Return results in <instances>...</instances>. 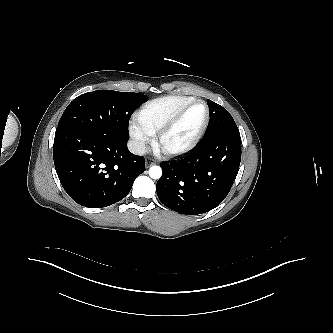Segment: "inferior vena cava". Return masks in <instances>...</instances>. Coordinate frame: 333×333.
Here are the masks:
<instances>
[{
  "label": "inferior vena cava",
  "mask_w": 333,
  "mask_h": 333,
  "mask_svg": "<svg viewBox=\"0 0 333 333\" xmlns=\"http://www.w3.org/2000/svg\"><path fill=\"white\" fill-rule=\"evenodd\" d=\"M127 145L129 151L135 155H144L146 152L145 144L142 141L130 140Z\"/></svg>",
  "instance_id": "1"
}]
</instances>
